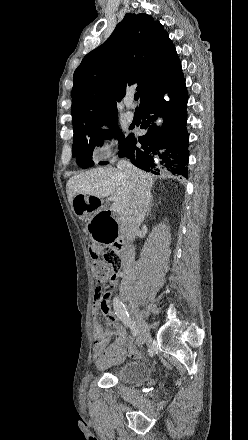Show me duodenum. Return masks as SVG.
Returning <instances> with one entry per match:
<instances>
[{"mask_svg":"<svg viewBox=\"0 0 248 440\" xmlns=\"http://www.w3.org/2000/svg\"><path fill=\"white\" fill-rule=\"evenodd\" d=\"M114 246L117 252L123 257V259L127 260L128 252L124 241L120 238L119 241H114ZM122 273H123L122 271L118 272L120 276L122 275Z\"/></svg>","mask_w":248,"mask_h":440,"instance_id":"obj_1","label":"duodenum"}]
</instances>
